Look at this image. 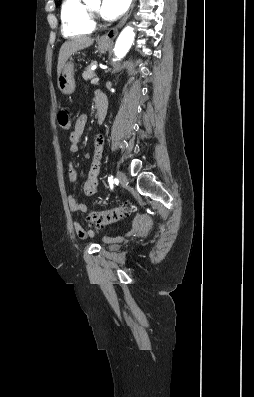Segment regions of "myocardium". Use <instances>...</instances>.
I'll return each mask as SVG.
<instances>
[{
    "label": "myocardium",
    "instance_id": "myocardium-1",
    "mask_svg": "<svg viewBox=\"0 0 254 397\" xmlns=\"http://www.w3.org/2000/svg\"><path fill=\"white\" fill-rule=\"evenodd\" d=\"M87 13H88V18H89L90 23L93 26L96 25L98 23L97 11L91 9L90 7H87Z\"/></svg>",
    "mask_w": 254,
    "mask_h": 397
}]
</instances>
